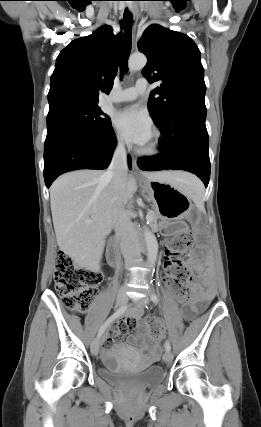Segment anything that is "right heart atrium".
Instances as JSON below:
<instances>
[{
	"label": "right heart atrium",
	"mask_w": 261,
	"mask_h": 427,
	"mask_svg": "<svg viewBox=\"0 0 261 427\" xmlns=\"http://www.w3.org/2000/svg\"><path fill=\"white\" fill-rule=\"evenodd\" d=\"M114 141H115V147L118 151H123L124 150V141L123 138L121 137V135L119 133H115L114 135Z\"/></svg>",
	"instance_id": "1"
}]
</instances>
